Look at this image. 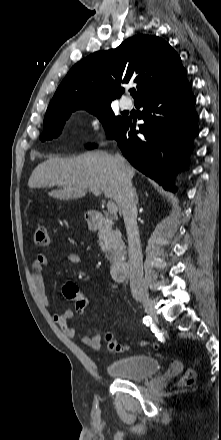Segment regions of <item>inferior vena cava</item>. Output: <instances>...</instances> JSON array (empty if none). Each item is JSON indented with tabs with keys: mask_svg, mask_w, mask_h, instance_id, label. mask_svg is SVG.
Returning a JSON list of instances; mask_svg holds the SVG:
<instances>
[{
	"mask_svg": "<svg viewBox=\"0 0 221 440\" xmlns=\"http://www.w3.org/2000/svg\"><path fill=\"white\" fill-rule=\"evenodd\" d=\"M114 158L122 172L121 205L128 238L130 287L132 291L141 293L143 286V262L139 230L136 221L137 208L134 191L131 178L128 175L125 159L119 153L115 154Z\"/></svg>",
	"mask_w": 221,
	"mask_h": 440,
	"instance_id": "obj_1",
	"label": "inferior vena cava"
}]
</instances>
